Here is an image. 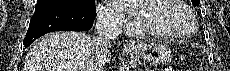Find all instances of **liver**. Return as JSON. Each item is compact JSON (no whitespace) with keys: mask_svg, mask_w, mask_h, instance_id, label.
<instances>
[{"mask_svg":"<svg viewBox=\"0 0 230 71\" xmlns=\"http://www.w3.org/2000/svg\"><path fill=\"white\" fill-rule=\"evenodd\" d=\"M91 36L54 32L36 40L26 55L24 71H88L92 62ZM111 59L106 54V63Z\"/></svg>","mask_w":230,"mask_h":71,"instance_id":"1","label":"liver"}]
</instances>
